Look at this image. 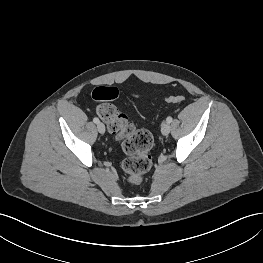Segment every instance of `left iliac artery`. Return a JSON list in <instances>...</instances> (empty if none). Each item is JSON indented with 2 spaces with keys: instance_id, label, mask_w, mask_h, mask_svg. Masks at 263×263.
Returning a JSON list of instances; mask_svg holds the SVG:
<instances>
[{
  "instance_id": "44dca946",
  "label": "left iliac artery",
  "mask_w": 263,
  "mask_h": 263,
  "mask_svg": "<svg viewBox=\"0 0 263 263\" xmlns=\"http://www.w3.org/2000/svg\"><path fill=\"white\" fill-rule=\"evenodd\" d=\"M166 121L168 122V123H171L172 122V117H167V119H166Z\"/></svg>"
}]
</instances>
